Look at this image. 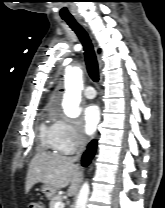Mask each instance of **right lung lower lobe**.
<instances>
[{
    "label": "right lung lower lobe",
    "mask_w": 165,
    "mask_h": 208,
    "mask_svg": "<svg viewBox=\"0 0 165 208\" xmlns=\"http://www.w3.org/2000/svg\"><path fill=\"white\" fill-rule=\"evenodd\" d=\"M95 150H96V141L93 140L92 142H90V144L88 145L87 151L82 156L83 166H87L91 162V159L93 158L95 154Z\"/></svg>",
    "instance_id": "98d812e1"
}]
</instances>
